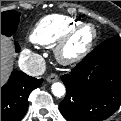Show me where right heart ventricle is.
Returning <instances> with one entry per match:
<instances>
[{
    "mask_svg": "<svg viewBox=\"0 0 121 121\" xmlns=\"http://www.w3.org/2000/svg\"><path fill=\"white\" fill-rule=\"evenodd\" d=\"M79 21L59 14L42 18L33 28L30 38L40 45H54Z\"/></svg>",
    "mask_w": 121,
    "mask_h": 121,
    "instance_id": "1",
    "label": "right heart ventricle"
}]
</instances>
